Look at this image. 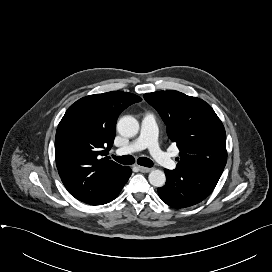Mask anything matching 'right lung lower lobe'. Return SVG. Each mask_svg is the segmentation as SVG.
Returning a JSON list of instances; mask_svg holds the SVG:
<instances>
[{"mask_svg":"<svg viewBox=\"0 0 272 272\" xmlns=\"http://www.w3.org/2000/svg\"><path fill=\"white\" fill-rule=\"evenodd\" d=\"M131 174L132 170L130 169V167H127L119 179L114 180L107 185H104L98 192L94 193L92 196L79 200L90 205H102L109 203L118 196Z\"/></svg>","mask_w":272,"mask_h":272,"instance_id":"98d812e1","label":"right lung lower lobe"}]
</instances>
